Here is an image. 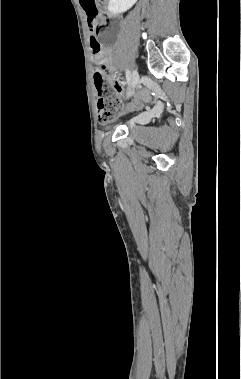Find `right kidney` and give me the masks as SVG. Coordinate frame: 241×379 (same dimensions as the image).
Wrapping results in <instances>:
<instances>
[{
  "label": "right kidney",
  "instance_id": "right-kidney-1",
  "mask_svg": "<svg viewBox=\"0 0 241 379\" xmlns=\"http://www.w3.org/2000/svg\"><path fill=\"white\" fill-rule=\"evenodd\" d=\"M137 0H109L108 10L112 15H118L129 10Z\"/></svg>",
  "mask_w": 241,
  "mask_h": 379
}]
</instances>
